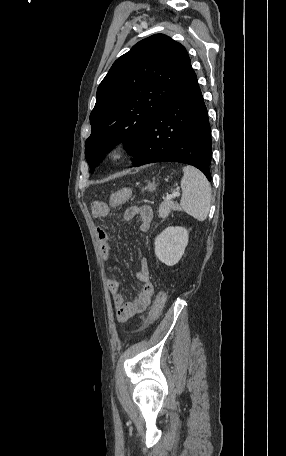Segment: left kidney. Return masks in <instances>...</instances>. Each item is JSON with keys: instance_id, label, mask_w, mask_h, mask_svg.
<instances>
[{"instance_id": "left-kidney-1", "label": "left kidney", "mask_w": 286, "mask_h": 456, "mask_svg": "<svg viewBox=\"0 0 286 456\" xmlns=\"http://www.w3.org/2000/svg\"><path fill=\"white\" fill-rule=\"evenodd\" d=\"M155 255L164 264L179 262L188 244V231L184 227H167L155 239Z\"/></svg>"}]
</instances>
